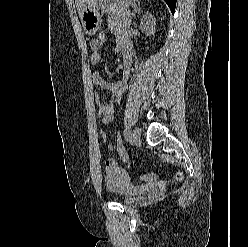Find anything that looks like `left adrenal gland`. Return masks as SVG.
<instances>
[{"label": "left adrenal gland", "instance_id": "a2214340", "mask_svg": "<svg viewBox=\"0 0 248 247\" xmlns=\"http://www.w3.org/2000/svg\"><path fill=\"white\" fill-rule=\"evenodd\" d=\"M140 10H141L140 4H138L134 7L132 14H131L130 22H131L132 18L135 17L136 13L140 12Z\"/></svg>", "mask_w": 248, "mask_h": 247}]
</instances>
